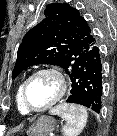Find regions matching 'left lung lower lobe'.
<instances>
[{"label": "left lung lower lobe", "instance_id": "1", "mask_svg": "<svg viewBox=\"0 0 117 136\" xmlns=\"http://www.w3.org/2000/svg\"><path fill=\"white\" fill-rule=\"evenodd\" d=\"M103 74L102 52L95 40L89 50L81 54L71 67V89L67 102L81 104L100 113Z\"/></svg>", "mask_w": 117, "mask_h": 136}]
</instances>
